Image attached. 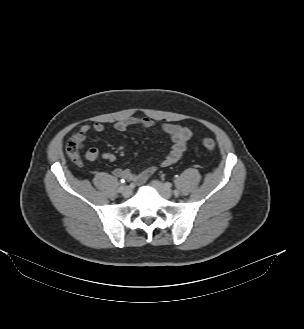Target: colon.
<instances>
[{
  "label": "colon",
  "instance_id": "5ec220e1",
  "mask_svg": "<svg viewBox=\"0 0 304 329\" xmlns=\"http://www.w3.org/2000/svg\"><path fill=\"white\" fill-rule=\"evenodd\" d=\"M202 145L209 151L214 150L216 147L215 140L212 137H204L202 139ZM65 150L66 154L72 161L76 163L80 162L81 143L76 135H73L68 139Z\"/></svg>",
  "mask_w": 304,
  "mask_h": 329
}]
</instances>
